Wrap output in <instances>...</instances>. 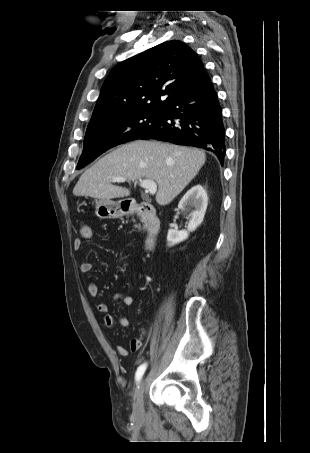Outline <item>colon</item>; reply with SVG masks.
Wrapping results in <instances>:
<instances>
[{
    "label": "colon",
    "instance_id": "1",
    "mask_svg": "<svg viewBox=\"0 0 310 453\" xmlns=\"http://www.w3.org/2000/svg\"><path fill=\"white\" fill-rule=\"evenodd\" d=\"M80 232L83 237H89L91 235V227L88 224H84L81 226Z\"/></svg>",
    "mask_w": 310,
    "mask_h": 453
}]
</instances>
